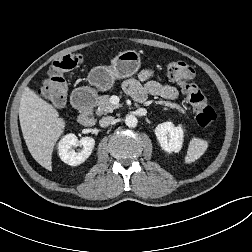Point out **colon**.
I'll return each mask as SVG.
<instances>
[{
  "mask_svg": "<svg viewBox=\"0 0 252 252\" xmlns=\"http://www.w3.org/2000/svg\"><path fill=\"white\" fill-rule=\"evenodd\" d=\"M83 58L79 54L66 55L56 60L49 75L39 90V94L50 104L59 107L66 99L67 85L64 74L76 68ZM196 72L189 64L176 61L168 66L169 78L180 85L182 92L186 95V100L191 106L197 123L202 127L212 125L216 118L215 110L208 104L207 98L194 82Z\"/></svg>",
  "mask_w": 252,
  "mask_h": 252,
  "instance_id": "colon-1",
  "label": "colon"
}]
</instances>
